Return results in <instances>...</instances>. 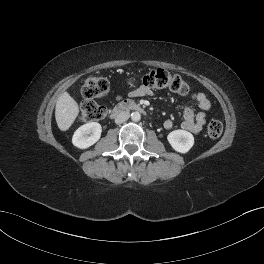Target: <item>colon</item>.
<instances>
[{
    "label": "colon",
    "mask_w": 264,
    "mask_h": 264,
    "mask_svg": "<svg viewBox=\"0 0 264 264\" xmlns=\"http://www.w3.org/2000/svg\"><path fill=\"white\" fill-rule=\"evenodd\" d=\"M131 85L140 84L148 89H168L172 92L185 95L189 92L188 84L179 76L164 69H152L141 78H132ZM109 91L108 81L103 77H89L82 87L84 102L81 108V118L85 122L98 121L106 116L107 110L95 100L105 96ZM223 125L213 119L207 125V134L216 139L221 136Z\"/></svg>",
    "instance_id": "obj_1"
}]
</instances>
